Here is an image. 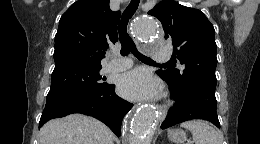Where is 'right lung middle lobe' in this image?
Listing matches in <instances>:
<instances>
[{
  "mask_svg": "<svg viewBox=\"0 0 260 144\" xmlns=\"http://www.w3.org/2000/svg\"><path fill=\"white\" fill-rule=\"evenodd\" d=\"M101 65H70L52 73L51 88L48 95L63 92H97L111 84L100 76Z\"/></svg>",
  "mask_w": 260,
  "mask_h": 144,
  "instance_id": "dd1d6c3e",
  "label": "right lung middle lobe"
}]
</instances>
